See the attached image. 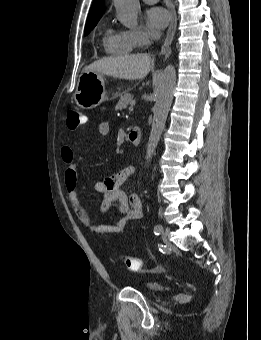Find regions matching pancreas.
Listing matches in <instances>:
<instances>
[{"label":"pancreas","mask_w":261,"mask_h":340,"mask_svg":"<svg viewBox=\"0 0 261 340\" xmlns=\"http://www.w3.org/2000/svg\"><path fill=\"white\" fill-rule=\"evenodd\" d=\"M119 96L120 99L115 107L116 110L125 109L133 99V96L129 94L127 91L121 93Z\"/></svg>","instance_id":"obj_1"}]
</instances>
